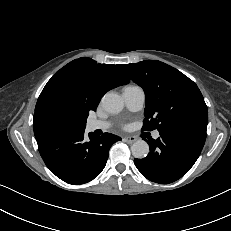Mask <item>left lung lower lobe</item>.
<instances>
[{
  "label": "left lung lower lobe",
  "instance_id": "1",
  "mask_svg": "<svg viewBox=\"0 0 231 231\" xmlns=\"http://www.w3.org/2000/svg\"><path fill=\"white\" fill-rule=\"evenodd\" d=\"M206 129L183 125L159 131L157 140L147 141L150 152L134 159L137 169L150 181L168 184L185 175L198 159L206 140Z\"/></svg>",
  "mask_w": 231,
  "mask_h": 231
}]
</instances>
